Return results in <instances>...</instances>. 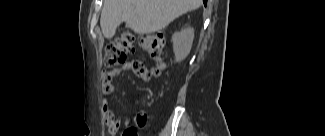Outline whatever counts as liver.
<instances>
[{
	"label": "liver",
	"instance_id": "6515ba94",
	"mask_svg": "<svg viewBox=\"0 0 325 136\" xmlns=\"http://www.w3.org/2000/svg\"><path fill=\"white\" fill-rule=\"evenodd\" d=\"M201 4L202 0H104L100 26L107 39L115 35L122 22L135 33L149 34L161 31Z\"/></svg>",
	"mask_w": 325,
	"mask_h": 136
}]
</instances>
